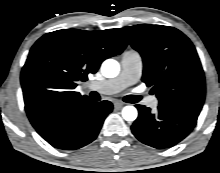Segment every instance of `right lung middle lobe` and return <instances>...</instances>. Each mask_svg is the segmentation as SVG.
<instances>
[{"instance_id": "obj_1", "label": "right lung middle lobe", "mask_w": 220, "mask_h": 173, "mask_svg": "<svg viewBox=\"0 0 220 173\" xmlns=\"http://www.w3.org/2000/svg\"><path fill=\"white\" fill-rule=\"evenodd\" d=\"M59 101L61 100V101H65V100H67V98H65V97H60V99H58ZM57 100V101H58ZM57 101H54V102H57ZM36 110H38V105L36 104V103H30L27 107H26V111H27V114H28V116H29V114L31 113V112H34V111H36Z\"/></svg>"}]
</instances>
